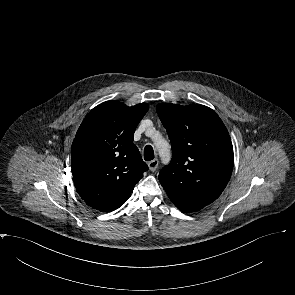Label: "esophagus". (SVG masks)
<instances>
[{
	"instance_id": "1",
	"label": "esophagus",
	"mask_w": 295,
	"mask_h": 295,
	"mask_svg": "<svg viewBox=\"0 0 295 295\" xmlns=\"http://www.w3.org/2000/svg\"><path fill=\"white\" fill-rule=\"evenodd\" d=\"M159 161L158 159H154L148 162L149 169L154 172L158 167Z\"/></svg>"
}]
</instances>
